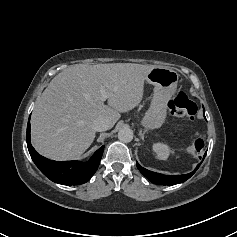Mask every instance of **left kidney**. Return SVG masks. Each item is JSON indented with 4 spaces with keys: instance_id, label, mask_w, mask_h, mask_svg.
Here are the masks:
<instances>
[{
    "instance_id": "left-kidney-1",
    "label": "left kidney",
    "mask_w": 237,
    "mask_h": 237,
    "mask_svg": "<svg viewBox=\"0 0 237 237\" xmlns=\"http://www.w3.org/2000/svg\"><path fill=\"white\" fill-rule=\"evenodd\" d=\"M153 151L157 154V157L161 160H166L172 152L170 148L163 143L153 144Z\"/></svg>"
}]
</instances>
